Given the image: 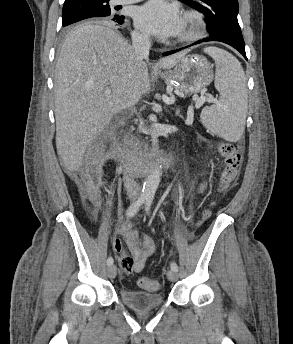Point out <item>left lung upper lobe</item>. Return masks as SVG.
Instances as JSON below:
<instances>
[{"label": "left lung upper lobe", "mask_w": 293, "mask_h": 344, "mask_svg": "<svg viewBox=\"0 0 293 344\" xmlns=\"http://www.w3.org/2000/svg\"><path fill=\"white\" fill-rule=\"evenodd\" d=\"M202 12L206 16L210 37L226 39L244 44L237 20L239 5L237 0H180Z\"/></svg>", "instance_id": "obj_1"}]
</instances>
